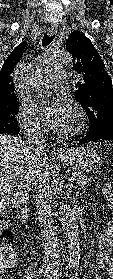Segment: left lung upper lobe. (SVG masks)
<instances>
[{
    "label": "left lung upper lobe",
    "mask_w": 113,
    "mask_h": 279,
    "mask_svg": "<svg viewBox=\"0 0 113 279\" xmlns=\"http://www.w3.org/2000/svg\"><path fill=\"white\" fill-rule=\"evenodd\" d=\"M72 54L73 70L82 77L77 83L75 99L89 119V131L94 132L113 122L112 80L92 42L82 33L72 32L66 43Z\"/></svg>",
    "instance_id": "1"
}]
</instances>
